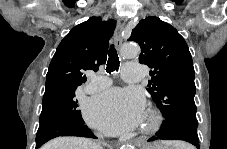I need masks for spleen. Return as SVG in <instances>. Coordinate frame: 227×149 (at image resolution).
Instances as JSON below:
<instances>
[{"instance_id": "spleen-1", "label": "spleen", "mask_w": 227, "mask_h": 149, "mask_svg": "<svg viewBox=\"0 0 227 149\" xmlns=\"http://www.w3.org/2000/svg\"><path fill=\"white\" fill-rule=\"evenodd\" d=\"M166 145H173L176 149H190V147L183 142H167Z\"/></svg>"}]
</instances>
